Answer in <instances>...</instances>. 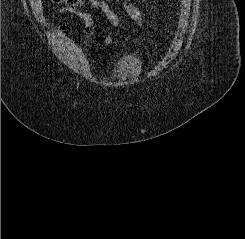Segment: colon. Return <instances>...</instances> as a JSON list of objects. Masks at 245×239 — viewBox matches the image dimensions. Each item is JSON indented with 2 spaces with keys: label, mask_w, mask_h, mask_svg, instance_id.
<instances>
[{
  "label": "colon",
  "mask_w": 245,
  "mask_h": 239,
  "mask_svg": "<svg viewBox=\"0 0 245 239\" xmlns=\"http://www.w3.org/2000/svg\"><path fill=\"white\" fill-rule=\"evenodd\" d=\"M128 1L133 2L135 0H128ZM54 2H56V3H60V2L73 3V2H75V0H54Z\"/></svg>",
  "instance_id": "5ec220e1"
}]
</instances>
